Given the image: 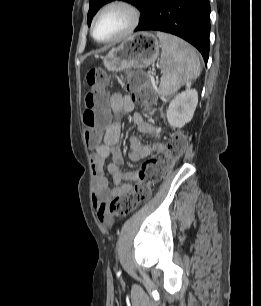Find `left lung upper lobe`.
I'll return each instance as SVG.
<instances>
[{"label": "left lung upper lobe", "instance_id": "1", "mask_svg": "<svg viewBox=\"0 0 261 306\" xmlns=\"http://www.w3.org/2000/svg\"><path fill=\"white\" fill-rule=\"evenodd\" d=\"M114 0H89V4H90V8H89V12H88V25L90 26L91 21L93 16L96 14V12L98 11V9L108 3ZM125 2H128L134 6H136L140 11L143 9V7L145 6L147 0H122Z\"/></svg>", "mask_w": 261, "mask_h": 306}]
</instances>
